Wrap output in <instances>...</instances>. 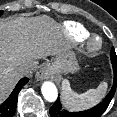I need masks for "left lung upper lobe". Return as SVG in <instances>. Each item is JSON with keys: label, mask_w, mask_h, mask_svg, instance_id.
<instances>
[{"label": "left lung upper lobe", "mask_w": 117, "mask_h": 117, "mask_svg": "<svg viewBox=\"0 0 117 117\" xmlns=\"http://www.w3.org/2000/svg\"><path fill=\"white\" fill-rule=\"evenodd\" d=\"M111 62L112 63L117 62V56H116L114 48L111 49Z\"/></svg>", "instance_id": "obj_1"}]
</instances>
